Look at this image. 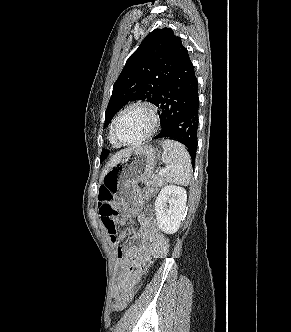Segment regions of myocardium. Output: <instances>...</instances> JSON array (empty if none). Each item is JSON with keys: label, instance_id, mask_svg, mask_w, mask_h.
Listing matches in <instances>:
<instances>
[{"label": "myocardium", "instance_id": "1", "mask_svg": "<svg viewBox=\"0 0 291 332\" xmlns=\"http://www.w3.org/2000/svg\"><path fill=\"white\" fill-rule=\"evenodd\" d=\"M133 108H142V109L146 110L151 119V126H150V129L148 130V132L145 135H143L142 137H140L139 139H136L133 141H123L118 137V134H117L118 122L125 112H127L128 110L133 109ZM159 126H160V117H159L158 110L155 107V105H153L151 102H148V101H136V102L128 104L119 112V114L116 116V118L113 122L112 133H113L114 139L120 145H126V146L138 145V144H141L142 142L146 141L150 137H152L157 132Z\"/></svg>", "mask_w": 291, "mask_h": 332}]
</instances>
